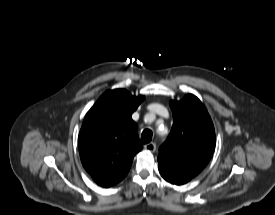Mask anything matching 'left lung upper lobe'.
<instances>
[{
  "label": "left lung upper lobe",
  "instance_id": "obj_1",
  "mask_svg": "<svg viewBox=\"0 0 275 215\" xmlns=\"http://www.w3.org/2000/svg\"><path fill=\"white\" fill-rule=\"evenodd\" d=\"M172 130L160 147L159 172L176 185L198 175L210 161L215 149V131L203 103L188 94L181 101H170Z\"/></svg>",
  "mask_w": 275,
  "mask_h": 215
}]
</instances>
